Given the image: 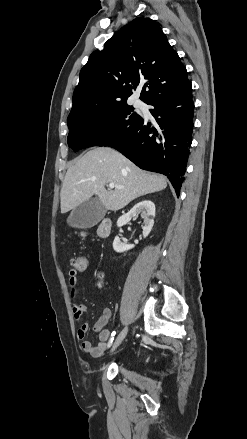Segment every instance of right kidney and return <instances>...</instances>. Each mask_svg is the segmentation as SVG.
<instances>
[{"mask_svg": "<svg viewBox=\"0 0 247 439\" xmlns=\"http://www.w3.org/2000/svg\"><path fill=\"white\" fill-rule=\"evenodd\" d=\"M141 214V218L144 220L143 229V237H147L152 230L154 225V217H155V204L150 200H144L137 203L133 208H131L126 214L120 216L117 220V226L121 227L127 224L132 218H135ZM133 245H128L120 241L119 237L116 236L113 241V249L118 252H124L132 249Z\"/></svg>", "mask_w": 247, "mask_h": 439, "instance_id": "ca27d5eb", "label": "right kidney"}]
</instances>
